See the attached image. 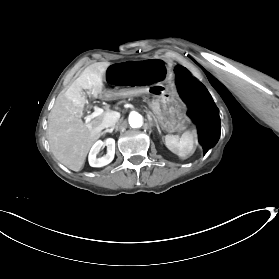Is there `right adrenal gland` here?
<instances>
[{
  "mask_svg": "<svg viewBox=\"0 0 279 279\" xmlns=\"http://www.w3.org/2000/svg\"><path fill=\"white\" fill-rule=\"evenodd\" d=\"M114 127H115V126L111 127L110 129L107 128L102 134L104 135V134H106V133H108V132L111 133V132L114 130Z\"/></svg>",
  "mask_w": 279,
  "mask_h": 279,
  "instance_id": "obj_1",
  "label": "right adrenal gland"
}]
</instances>
